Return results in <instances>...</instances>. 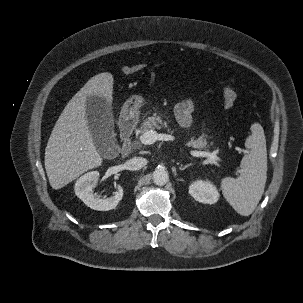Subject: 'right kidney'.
<instances>
[{
	"mask_svg": "<svg viewBox=\"0 0 303 303\" xmlns=\"http://www.w3.org/2000/svg\"><path fill=\"white\" fill-rule=\"evenodd\" d=\"M98 179L99 172L97 171L84 174L75 183V194L91 209L99 211L114 209L123 197V188L118 186L114 195L107 199L94 198L93 189L96 187Z\"/></svg>",
	"mask_w": 303,
	"mask_h": 303,
	"instance_id": "obj_1",
	"label": "right kidney"
}]
</instances>
